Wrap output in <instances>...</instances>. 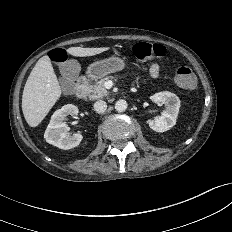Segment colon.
<instances>
[{
  "instance_id": "1",
  "label": "colon",
  "mask_w": 232,
  "mask_h": 232,
  "mask_svg": "<svg viewBox=\"0 0 232 232\" xmlns=\"http://www.w3.org/2000/svg\"><path fill=\"white\" fill-rule=\"evenodd\" d=\"M132 50L135 57L140 61L159 59L166 53V49L163 45L147 42L136 43ZM49 56L52 61L63 65L62 85L64 89L70 90L73 86V78L76 74L75 63L68 60L67 52L61 48L52 50ZM174 80L176 84L183 89H193L196 86V77L192 70L187 66L177 68Z\"/></svg>"
}]
</instances>
